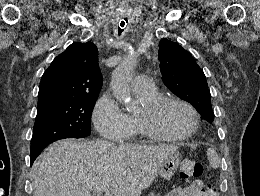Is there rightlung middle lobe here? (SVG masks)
<instances>
[{"label": "right lung middle lobe", "instance_id": "dd1d6c3e", "mask_svg": "<svg viewBox=\"0 0 260 196\" xmlns=\"http://www.w3.org/2000/svg\"><path fill=\"white\" fill-rule=\"evenodd\" d=\"M98 95H80L38 106L31 151L65 138L90 135L91 114Z\"/></svg>", "mask_w": 260, "mask_h": 196}]
</instances>
